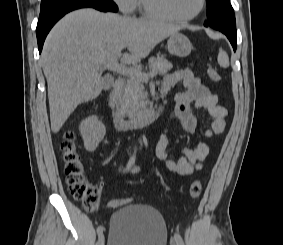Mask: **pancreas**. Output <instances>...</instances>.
I'll return each instance as SVG.
<instances>
[{
    "instance_id": "pancreas-1",
    "label": "pancreas",
    "mask_w": 283,
    "mask_h": 245,
    "mask_svg": "<svg viewBox=\"0 0 283 245\" xmlns=\"http://www.w3.org/2000/svg\"><path fill=\"white\" fill-rule=\"evenodd\" d=\"M148 64L152 72L160 74H165L172 68V64L163 57H151ZM120 101L122 115H126L129 118H133L137 113L145 110L149 105V101L144 81L138 78L127 79Z\"/></svg>"
}]
</instances>
